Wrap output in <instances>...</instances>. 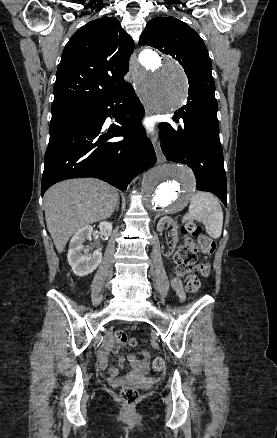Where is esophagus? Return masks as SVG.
Wrapping results in <instances>:
<instances>
[{
  "label": "esophagus",
  "instance_id": "1",
  "mask_svg": "<svg viewBox=\"0 0 277 438\" xmlns=\"http://www.w3.org/2000/svg\"><path fill=\"white\" fill-rule=\"evenodd\" d=\"M136 55L137 54H136V51H135L134 54H133V58H134L135 62H137ZM157 133H158V123L155 124V128H154V131H153L152 135L155 136V135H157ZM154 144H155V147L157 149V154L160 156V159L162 158V160H164V157H163L162 152H161L160 147H159V142L155 141Z\"/></svg>",
  "mask_w": 277,
  "mask_h": 438
}]
</instances>
